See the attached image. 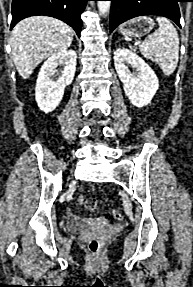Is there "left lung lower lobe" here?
Returning <instances> with one entry per match:
<instances>
[{"instance_id": "obj_1", "label": "left lung lower lobe", "mask_w": 193, "mask_h": 287, "mask_svg": "<svg viewBox=\"0 0 193 287\" xmlns=\"http://www.w3.org/2000/svg\"><path fill=\"white\" fill-rule=\"evenodd\" d=\"M110 32L119 24L143 15H158L171 19L179 27L180 10L178 2L180 0H110Z\"/></svg>"}]
</instances>
